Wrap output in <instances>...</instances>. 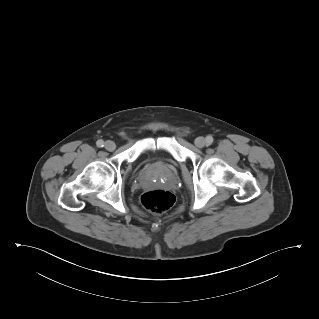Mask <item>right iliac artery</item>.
<instances>
[{
	"label": "right iliac artery",
	"mask_w": 319,
	"mask_h": 319,
	"mask_svg": "<svg viewBox=\"0 0 319 319\" xmlns=\"http://www.w3.org/2000/svg\"><path fill=\"white\" fill-rule=\"evenodd\" d=\"M96 144H97L98 147H103L104 146V141L103 140H98Z\"/></svg>",
	"instance_id": "1"
}]
</instances>
